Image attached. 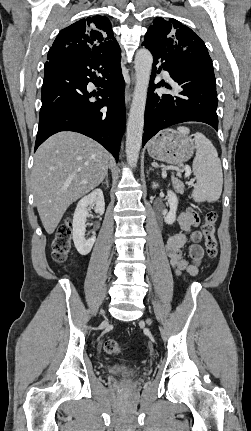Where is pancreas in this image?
Wrapping results in <instances>:
<instances>
[{"mask_svg":"<svg viewBox=\"0 0 251 431\" xmlns=\"http://www.w3.org/2000/svg\"><path fill=\"white\" fill-rule=\"evenodd\" d=\"M172 183L175 191L179 194L184 193V184L177 178H172Z\"/></svg>","mask_w":251,"mask_h":431,"instance_id":"1","label":"pancreas"}]
</instances>
